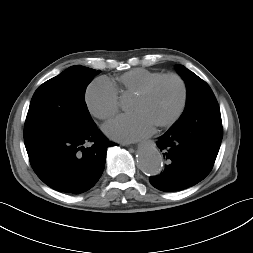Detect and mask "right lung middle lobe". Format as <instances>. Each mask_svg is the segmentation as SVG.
<instances>
[{
    "label": "right lung middle lobe",
    "instance_id": "dd1d6c3e",
    "mask_svg": "<svg viewBox=\"0 0 253 253\" xmlns=\"http://www.w3.org/2000/svg\"><path fill=\"white\" fill-rule=\"evenodd\" d=\"M97 74L94 69L75 65L39 86L25 121L26 149L49 136L94 124L84 94Z\"/></svg>",
    "mask_w": 253,
    "mask_h": 253
}]
</instances>
